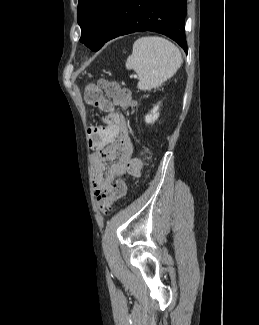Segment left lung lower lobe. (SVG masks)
<instances>
[{
  "instance_id": "obj_1",
  "label": "left lung lower lobe",
  "mask_w": 259,
  "mask_h": 325,
  "mask_svg": "<svg viewBox=\"0 0 259 325\" xmlns=\"http://www.w3.org/2000/svg\"><path fill=\"white\" fill-rule=\"evenodd\" d=\"M186 0H122L103 45L118 36L140 31L162 33L185 51Z\"/></svg>"
}]
</instances>
